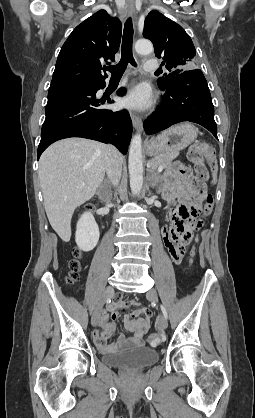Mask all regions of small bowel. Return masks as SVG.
Instances as JSON below:
<instances>
[{
    "label": "small bowel",
    "mask_w": 255,
    "mask_h": 418,
    "mask_svg": "<svg viewBox=\"0 0 255 418\" xmlns=\"http://www.w3.org/2000/svg\"><path fill=\"white\" fill-rule=\"evenodd\" d=\"M205 195V184L183 164H175L167 173L164 197L169 202H176V206L168 212L172 225L164 227L161 234L167 247V255L172 256V265H181L182 261L186 260L187 249H191L193 237L198 235L197 228H174V226L186 218L191 210H197ZM133 305L137 303L117 300L107 308L106 313L100 319V329L93 333L94 343L99 350L104 353H113L142 345L143 336L149 329L152 317V312L143 306H139L131 314L124 313L123 315L124 326L132 333V337L120 336L114 344L107 342L108 337L115 331L113 322L118 318L119 312H124ZM138 315H143V317L136 318Z\"/></svg>",
    "instance_id": "c3829d8e"
}]
</instances>
